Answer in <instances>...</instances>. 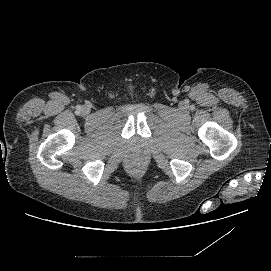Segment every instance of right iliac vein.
Wrapping results in <instances>:
<instances>
[{
	"instance_id": "63e3f726",
	"label": "right iliac vein",
	"mask_w": 271,
	"mask_h": 271,
	"mask_svg": "<svg viewBox=\"0 0 271 271\" xmlns=\"http://www.w3.org/2000/svg\"><path fill=\"white\" fill-rule=\"evenodd\" d=\"M89 112V108L88 107H84L83 108V113L87 114Z\"/></svg>"
}]
</instances>
